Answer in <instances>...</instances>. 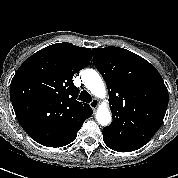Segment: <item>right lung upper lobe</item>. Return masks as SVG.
<instances>
[{
	"label": "right lung upper lobe",
	"instance_id": "1",
	"mask_svg": "<svg viewBox=\"0 0 178 178\" xmlns=\"http://www.w3.org/2000/svg\"><path fill=\"white\" fill-rule=\"evenodd\" d=\"M92 50L56 43L22 63L10 84V98L25 132L48 147H62L77 136L93 111L77 101L73 75L85 68Z\"/></svg>",
	"mask_w": 178,
	"mask_h": 178
}]
</instances>
